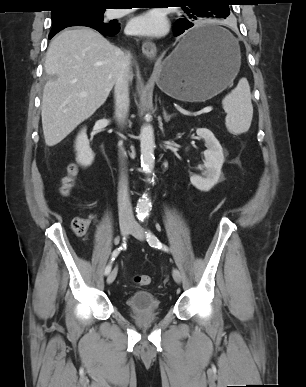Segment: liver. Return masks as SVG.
I'll list each match as a JSON object with an SVG mask.
<instances>
[{
	"instance_id": "6515ba94",
	"label": "liver",
	"mask_w": 306,
	"mask_h": 387,
	"mask_svg": "<svg viewBox=\"0 0 306 387\" xmlns=\"http://www.w3.org/2000/svg\"><path fill=\"white\" fill-rule=\"evenodd\" d=\"M123 57L118 47L90 28L68 29L52 39L45 60V72L52 78L44 86L41 104L47 146L60 143L105 103Z\"/></svg>"
}]
</instances>
